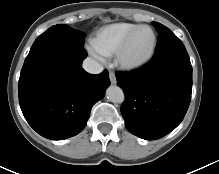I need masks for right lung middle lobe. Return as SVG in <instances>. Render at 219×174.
<instances>
[{"mask_svg": "<svg viewBox=\"0 0 219 174\" xmlns=\"http://www.w3.org/2000/svg\"><path fill=\"white\" fill-rule=\"evenodd\" d=\"M84 36L85 34L82 32L72 29L65 24L52 26L37 37L30 49L28 56L52 44H66L83 47Z\"/></svg>", "mask_w": 219, "mask_h": 174, "instance_id": "right-lung-middle-lobe-1", "label": "right lung middle lobe"}]
</instances>
